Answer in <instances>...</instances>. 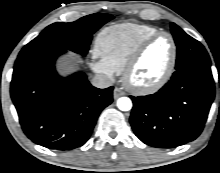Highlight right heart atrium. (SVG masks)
Instances as JSON below:
<instances>
[{
  "instance_id": "obj_1",
  "label": "right heart atrium",
  "mask_w": 220,
  "mask_h": 173,
  "mask_svg": "<svg viewBox=\"0 0 220 173\" xmlns=\"http://www.w3.org/2000/svg\"><path fill=\"white\" fill-rule=\"evenodd\" d=\"M90 66L93 69V71L103 75L108 79H112L114 77L115 73L108 66H106L101 60H93L90 63Z\"/></svg>"
}]
</instances>
